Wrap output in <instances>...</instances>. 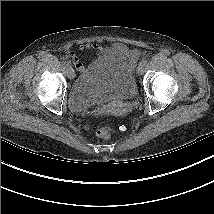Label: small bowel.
<instances>
[{
	"label": "small bowel",
	"mask_w": 214,
	"mask_h": 214,
	"mask_svg": "<svg viewBox=\"0 0 214 214\" xmlns=\"http://www.w3.org/2000/svg\"><path fill=\"white\" fill-rule=\"evenodd\" d=\"M86 50L94 51L97 56L103 53H117L118 55L123 56L131 67L135 65L138 61L140 53L137 49H129L126 45L122 43H114L110 47L105 48L97 43L88 42L80 45L79 53H82ZM69 56L73 59L74 66L77 71L82 72L85 69V65L82 61L76 56L74 52H70Z\"/></svg>",
	"instance_id": "1"
}]
</instances>
